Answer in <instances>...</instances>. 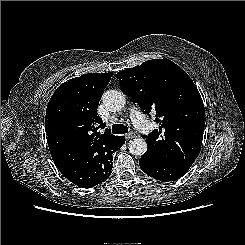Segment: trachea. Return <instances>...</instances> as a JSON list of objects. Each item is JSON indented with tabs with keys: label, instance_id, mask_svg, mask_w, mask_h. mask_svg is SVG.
I'll return each instance as SVG.
<instances>
[{
	"label": "trachea",
	"instance_id": "obj_1",
	"mask_svg": "<svg viewBox=\"0 0 245 245\" xmlns=\"http://www.w3.org/2000/svg\"><path fill=\"white\" fill-rule=\"evenodd\" d=\"M112 132L114 134H124L128 132V128L123 124H114L112 126Z\"/></svg>",
	"mask_w": 245,
	"mask_h": 245
}]
</instances>
